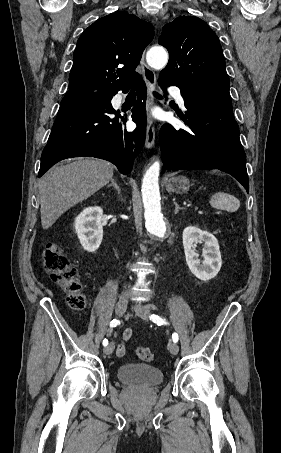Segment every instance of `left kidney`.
I'll use <instances>...</instances> for the list:
<instances>
[{
    "instance_id": "left-kidney-1",
    "label": "left kidney",
    "mask_w": 281,
    "mask_h": 453,
    "mask_svg": "<svg viewBox=\"0 0 281 453\" xmlns=\"http://www.w3.org/2000/svg\"><path fill=\"white\" fill-rule=\"evenodd\" d=\"M183 247L186 263L193 275L200 281H210L219 273L222 265L221 253L216 237L201 231L197 227H186L183 231ZM205 243V249L202 251L204 261H200L198 253L193 251V243Z\"/></svg>"
}]
</instances>
